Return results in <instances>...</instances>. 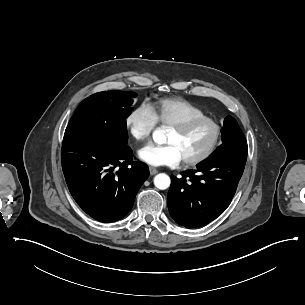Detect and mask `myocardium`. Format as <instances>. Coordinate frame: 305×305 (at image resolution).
<instances>
[{
  "instance_id": "1",
  "label": "myocardium",
  "mask_w": 305,
  "mask_h": 305,
  "mask_svg": "<svg viewBox=\"0 0 305 305\" xmlns=\"http://www.w3.org/2000/svg\"><path fill=\"white\" fill-rule=\"evenodd\" d=\"M204 122H210L213 123L216 127V137L213 141V143L199 156L195 158H190V159H183V162L186 166H196L204 163L207 161L220 147L222 143V139L224 136V124L223 122L213 116L210 115H205V116H200V117H193L189 118L174 124H171L169 127L173 130L176 131H187L191 129L192 127L204 123Z\"/></svg>"
}]
</instances>
